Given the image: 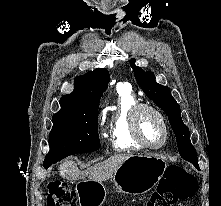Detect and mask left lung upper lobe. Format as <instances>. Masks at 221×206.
<instances>
[{"instance_id":"left-lung-upper-lobe-1","label":"left lung upper lobe","mask_w":221,"mask_h":206,"mask_svg":"<svg viewBox=\"0 0 221 206\" xmlns=\"http://www.w3.org/2000/svg\"><path fill=\"white\" fill-rule=\"evenodd\" d=\"M134 62L135 59H132L131 66L137 83L145 94L168 115L172 130L176 136L177 147L181 157L197 167L198 158L190 141L189 129L181 119L180 106L172 97L170 89L158 84L155 81V75L153 72H145L141 67L134 65Z\"/></svg>"}]
</instances>
